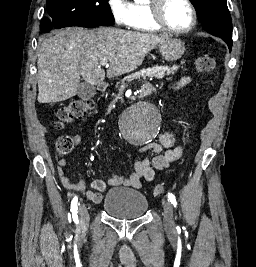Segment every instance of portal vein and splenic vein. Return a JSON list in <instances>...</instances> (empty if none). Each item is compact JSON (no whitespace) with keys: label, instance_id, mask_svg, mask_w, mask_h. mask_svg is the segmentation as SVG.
Instances as JSON below:
<instances>
[{"label":"portal vein and splenic vein","instance_id":"obj_1","mask_svg":"<svg viewBox=\"0 0 256 267\" xmlns=\"http://www.w3.org/2000/svg\"><path fill=\"white\" fill-rule=\"evenodd\" d=\"M101 66H108V62H102Z\"/></svg>","mask_w":256,"mask_h":267}]
</instances>
